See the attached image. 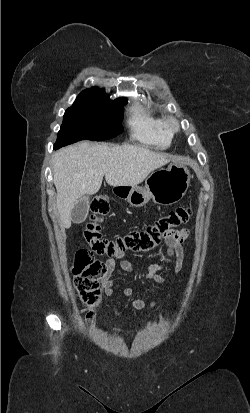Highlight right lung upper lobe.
<instances>
[{
	"mask_svg": "<svg viewBox=\"0 0 250 413\" xmlns=\"http://www.w3.org/2000/svg\"><path fill=\"white\" fill-rule=\"evenodd\" d=\"M82 92H84V93H95V94H103V95H106V93H105L103 90L99 89L98 87L89 88V89H86V90H84V91H82Z\"/></svg>",
	"mask_w": 250,
	"mask_h": 413,
	"instance_id": "1",
	"label": "right lung upper lobe"
}]
</instances>
